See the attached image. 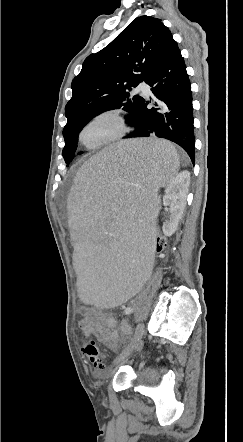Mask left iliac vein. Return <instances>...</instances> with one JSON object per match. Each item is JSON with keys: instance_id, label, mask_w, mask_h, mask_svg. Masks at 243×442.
I'll use <instances>...</instances> for the list:
<instances>
[{"instance_id": "4c4485c4", "label": "left iliac vein", "mask_w": 243, "mask_h": 442, "mask_svg": "<svg viewBox=\"0 0 243 442\" xmlns=\"http://www.w3.org/2000/svg\"><path fill=\"white\" fill-rule=\"evenodd\" d=\"M145 331V324L144 323H140L138 325V327L135 330V333L133 335V337L131 338V341L129 342V344L127 345V347L124 349V351L114 359L113 361V366L114 367H118L125 359H127L130 354L134 351V350H139L142 347V336L144 334Z\"/></svg>"}]
</instances>
